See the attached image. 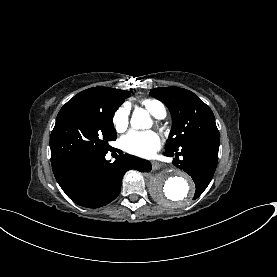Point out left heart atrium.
<instances>
[{
	"instance_id": "39dd6f15",
	"label": "left heart atrium",
	"mask_w": 277,
	"mask_h": 277,
	"mask_svg": "<svg viewBox=\"0 0 277 277\" xmlns=\"http://www.w3.org/2000/svg\"><path fill=\"white\" fill-rule=\"evenodd\" d=\"M120 146L129 153L149 157L161 146V140L154 132L130 131L122 137Z\"/></svg>"
}]
</instances>
